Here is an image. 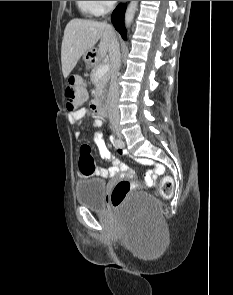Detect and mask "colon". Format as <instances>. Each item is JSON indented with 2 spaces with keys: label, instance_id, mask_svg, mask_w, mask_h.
Wrapping results in <instances>:
<instances>
[{
  "label": "colon",
  "instance_id": "1",
  "mask_svg": "<svg viewBox=\"0 0 233 295\" xmlns=\"http://www.w3.org/2000/svg\"><path fill=\"white\" fill-rule=\"evenodd\" d=\"M65 97L67 100V108L70 112H73L76 106L87 97V90L83 80L77 76H71L68 79L65 87ZM79 171L84 176H90L94 174L95 163L94 159L90 154V147L87 145L82 146L81 155L79 160ZM135 187V184L122 180L116 184L113 188L110 202L114 207L119 206L131 190ZM159 193L163 198H169L173 193V182L169 177H165L159 187Z\"/></svg>",
  "mask_w": 233,
  "mask_h": 295
}]
</instances>
